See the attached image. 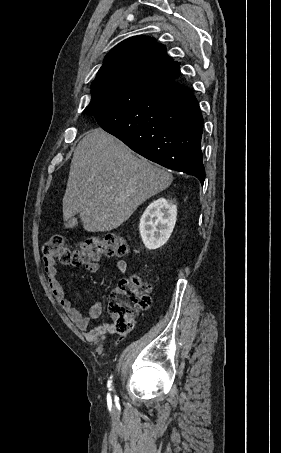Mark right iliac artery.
Masks as SVG:
<instances>
[{
    "label": "right iliac artery",
    "mask_w": 281,
    "mask_h": 453,
    "mask_svg": "<svg viewBox=\"0 0 281 453\" xmlns=\"http://www.w3.org/2000/svg\"><path fill=\"white\" fill-rule=\"evenodd\" d=\"M111 382H112V381H108V387L111 386ZM109 390H111V388H109Z\"/></svg>",
    "instance_id": "right-iliac-artery-1"
}]
</instances>
